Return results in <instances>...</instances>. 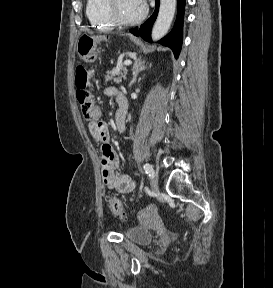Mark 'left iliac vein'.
I'll use <instances>...</instances> for the list:
<instances>
[{"instance_id": "4c4485c4", "label": "left iliac vein", "mask_w": 273, "mask_h": 288, "mask_svg": "<svg viewBox=\"0 0 273 288\" xmlns=\"http://www.w3.org/2000/svg\"><path fill=\"white\" fill-rule=\"evenodd\" d=\"M158 185V174L154 172V174L151 177V186L153 189H155Z\"/></svg>"}]
</instances>
